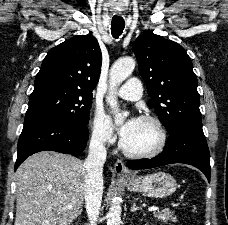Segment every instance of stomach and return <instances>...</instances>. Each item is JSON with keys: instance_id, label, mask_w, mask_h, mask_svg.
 <instances>
[{"instance_id": "1", "label": "stomach", "mask_w": 228, "mask_h": 225, "mask_svg": "<svg viewBox=\"0 0 228 225\" xmlns=\"http://www.w3.org/2000/svg\"><path fill=\"white\" fill-rule=\"evenodd\" d=\"M129 191L133 193H142L145 197H154V199H165L173 195L177 189V183L171 175L167 173H152L145 177L133 175L132 179H124Z\"/></svg>"}]
</instances>
